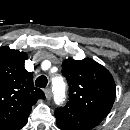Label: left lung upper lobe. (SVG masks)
Masks as SVG:
<instances>
[{
  "label": "left lung upper lobe",
  "instance_id": "left-lung-upper-lobe-1",
  "mask_svg": "<svg viewBox=\"0 0 130 130\" xmlns=\"http://www.w3.org/2000/svg\"><path fill=\"white\" fill-rule=\"evenodd\" d=\"M62 73L69 84L67 108L76 110L99 120L110 112L116 95V86L110 72L90 58L66 59Z\"/></svg>",
  "mask_w": 130,
  "mask_h": 130
}]
</instances>
